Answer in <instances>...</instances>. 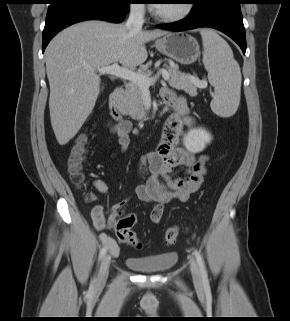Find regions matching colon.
I'll use <instances>...</instances> for the list:
<instances>
[{
  "label": "colon",
  "mask_w": 290,
  "mask_h": 321,
  "mask_svg": "<svg viewBox=\"0 0 290 321\" xmlns=\"http://www.w3.org/2000/svg\"><path fill=\"white\" fill-rule=\"evenodd\" d=\"M89 138L86 134H80L67 156V166L71 180L77 186H82L85 182L84 163L88 151ZM136 223L135 214H127L122 217L116 226L117 237L120 242L134 248H140L141 243L137 237L133 226ZM179 235L177 227H169L164 234L166 245H173Z\"/></svg>",
  "instance_id": "5ec220e1"
}]
</instances>
